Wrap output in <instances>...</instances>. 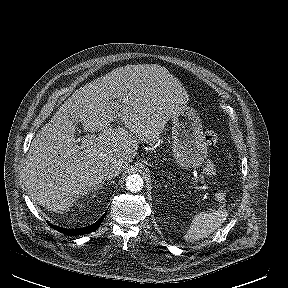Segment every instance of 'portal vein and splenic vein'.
Masks as SVG:
<instances>
[{
  "mask_svg": "<svg viewBox=\"0 0 288 288\" xmlns=\"http://www.w3.org/2000/svg\"><path fill=\"white\" fill-rule=\"evenodd\" d=\"M198 177L200 179L201 184L203 185V188H205L207 186L205 178L202 174H198Z\"/></svg>",
  "mask_w": 288,
  "mask_h": 288,
  "instance_id": "1",
  "label": "portal vein and splenic vein"
}]
</instances>
